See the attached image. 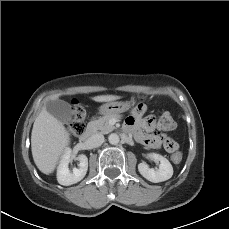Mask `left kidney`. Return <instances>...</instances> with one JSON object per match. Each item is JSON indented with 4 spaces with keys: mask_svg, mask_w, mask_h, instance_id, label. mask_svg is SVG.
<instances>
[{
    "mask_svg": "<svg viewBox=\"0 0 229 229\" xmlns=\"http://www.w3.org/2000/svg\"><path fill=\"white\" fill-rule=\"evenodd\" d=\"M149 157L155 161H159L160 165L158 169H150L145 162L139 163L138 170L144 178L153 183H158L166 181L172 177L173 167L165 157L156 153H150Z\"/></svg>",
    "mask_w": 229,
    "mask_h": 229,
    "instance_id": "5707ae66",
    "label": "left kidney"
}]
</instances>
